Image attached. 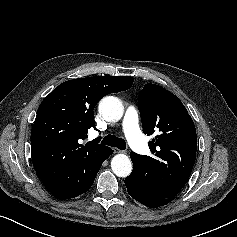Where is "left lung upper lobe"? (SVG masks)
I'll return each instance as SVG.
<instances>
[{
    "label": "left lung upper lobe",
    "mask_w": 237,
    "mask_h": 237,
    "mask_svg": "<svg viewBox=\"0 0 237 237\" xmlns=\"http://www.w3.org/2000/svg\"><path fill=\"white\" fill-rule=\"evenodd\" d=\"M143 132L157 136L148 143L153 157L130 153L138 182L150 198L176 196L188 181L196 159L195 125L177 96L155 84L140 92Z\"/></svg>",
    "instance_id": "5c2ea615"
}]
</instances>
